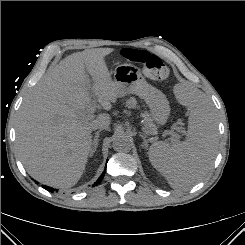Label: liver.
I'll use <instances>...</instances> for the list:
<instances>
[{
    "mask_svg": "<svg viewBox=\"0 0 245 245\" xmlns=\"http://www.w3.org/2000/svg\"><path fill=\"white\" fill-rule=\"evenodd\" d=\"M113 50L87 49L67 56L50 67L24 98L15 143L35 180L70 188L81 178L92 148L94 124L109 126L111 122L109 114H90L91 94L105 110L120 97L104 60Z\"/></svg>",
    "mask_w": 245,
    "mask_h": 245,
    "instance_id": "1",
    "label": "liver"
}]
</instances>
